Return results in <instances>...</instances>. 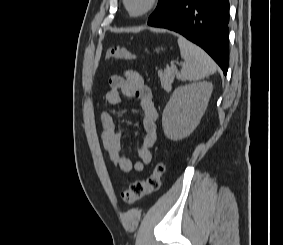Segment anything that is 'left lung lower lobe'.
<instances>
[{
	"mask_svg": "<svg viewBox=\"0 0 283 245\" xmlns=\"http://www.w3.org/2000/svg\"><path fill=\"white\" fill-rule=\"evenodd\" d=\"M228 22L229 0H173L147 24L178 32L199 45L226 75L229 60Z\"/></svg>",
	"mask_w": 283,
	"mask_h": 245,
	"instance_id": "left-lung-lower-lobe-1",
	"label": "left lung lower lobe"
}]
</instances>
